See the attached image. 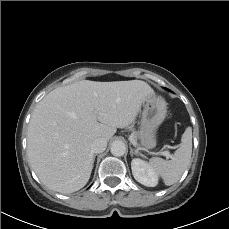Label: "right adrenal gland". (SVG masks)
Returning <instances> with one entry per match:
<instances>
[{"mask_svg": "<svg viewBox=\"0 0 229 229\" xmlns=\"http://www.w3.org/2000/svg\"><path fill=\"white\" fill-rule=\"evenodd\" d=\"M96 156H97V154H95V155L93 156V162H94Z\"/></svg>", "mask_w": 229, "mask_h": 229, "instance_id": "right-adrenal-gland-1", "label": "right adrenal gland"}]
</instances>
